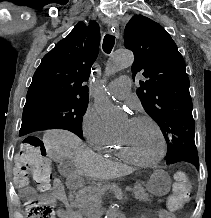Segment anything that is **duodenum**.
<instances>
[{
	"label": "duodenum",
	"mask_w": 211,
	"mask_h": 218,
	"mask_svg": "<svg viewBox=\"0 0 211 218\" xmlns=\"http://www.w3.org/2000/svg\"><path fill=\"white\" fill-rule=\"evenodd\" d=\"M82 179L78 174H72L67 178V186L69 188H77L81 185ZM106 210L104 209H98L95 212V216L97 218H101L102 216L106 215ZM118 218H131L125 215L124 213H119Z\"/></svg>",
	"instance_id": "410a0bca"
}]
</instances>
